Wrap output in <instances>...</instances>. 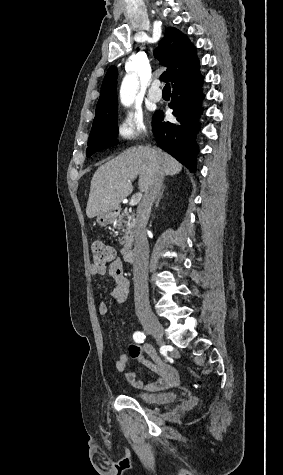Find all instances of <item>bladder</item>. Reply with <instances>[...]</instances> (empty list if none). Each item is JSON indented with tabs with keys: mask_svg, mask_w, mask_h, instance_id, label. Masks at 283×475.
Listing matches in <instances>:
<instances>
[{
	"mask_svg": "<svg viewBox=\"0 0 283 475\" xmlns=\"http://www.w3.org/2000/svg\"><path fill=\"white\" fill-rule=\"evenodd\" d=\"M132 398L147 404H161L168 400H175L177 394L169 393H149L146 391H136L132 394Z\"/></svg>",
	"mask_w": 283,
	"mask_h": 475,
	"instance_id": "31cf9c89",
	"label": "bladder"
}]
</instances>
